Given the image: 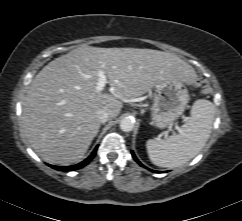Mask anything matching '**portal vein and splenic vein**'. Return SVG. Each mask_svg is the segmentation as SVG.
I'll list each match as a JSON object with an SVG mask.
<instances>
[{"label": "portal vein and splenic vein", "instance_id": "1", "mask_svg": "<svg viewBox=\"0 0 242 221\" xmlns=\"http://www.w3.org/2000/svg\"><path fill=\"white\" fill-rule=\"evenodd\" d=\"M98 82L96 84V91L99 93L103 91L104 87L108 83L107 77L102 70L97 72Z\"/></svg>", "mask_w": 242, "mask_h": 221}]
</instances>
